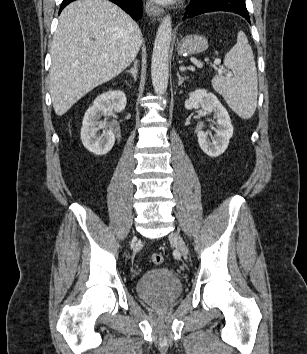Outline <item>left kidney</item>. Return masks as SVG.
<instances>
[{
	"instance_id": "left-kidney-1",
	"label": "left kidney",
	"mask_w": 307,
	"mask_h": 354,
	"mask_svg": "<svg viewBox=\"0 0 307 354\" xmlns=\"http://www.w3.org/2000/svg\"><path fill=\"white\" fill-rule=\"evenodd\" d=\"M201 106L207 114H214L216 128L211 126L215 132L212 139H209V131H199L197 133L198 143L204 153L210 157H218L225 152L233 135V126L230 116L218 98L205 89H196L189 94L185 101V108L192 110Z\"/></svg>"
}]
</instances>
